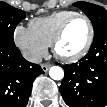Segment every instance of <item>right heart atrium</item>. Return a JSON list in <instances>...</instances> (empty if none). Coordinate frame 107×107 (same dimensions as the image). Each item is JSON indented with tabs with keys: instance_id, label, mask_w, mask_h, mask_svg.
Instances as JSON below:
<instances>
[{
	"instance_id": "d8ad5b80",
	"label": "right heart atrium",
	"mask_w": 107,
	"mask_h": 107,
	"mask_svg": "<svg viewBox=\"0 0 107 107\" xmlns=\"http://www.w3.org/2000/svg\"><path fill=\"white\" fill-rule=\"evenodd\" d=\"M14 41L25 56L33 62H38L48 50V46L29 27L23 25L15 28Z\"/></svg>"
}]
</instances>
